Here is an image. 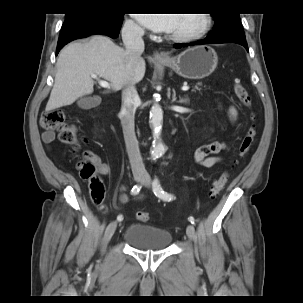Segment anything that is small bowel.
Returning a JSON list of instances; mask_svg holds the SVG:
<instances>
[{
  "mask_svg": "<svg viewBox=\"0 0 303 303\" xmlns=\"http://www.w3.org/2000/svg\"><path fill=\"white\" fill-rule=\"evenodd\" d=\"M229 117L232 122L238 119V112L234 107L229 110ZM43 142L47 147H50L51 143L55 139V132L47 130L43 132ZM227 149V144L223 141H212L206 145L198 147L194 152V160L197 164L204 166L206 168L213 167L222 161L219 154ZM66 154V150H63V155ZM99 170L102 174L107 175L110 173V167L104 162L98 163ZM123 193L121 194V201L127 202L129 200L128 195L125 193V188H122ZM139 199L140 196H135Z\"/></svg>",
  "mask_w": 303,
  "mask_h": 303,
  "instance_id": "1",
  "label": "small bowel"
}]
</instances>
